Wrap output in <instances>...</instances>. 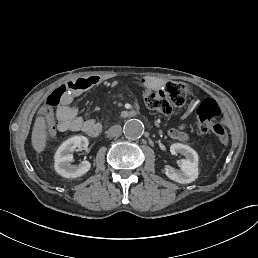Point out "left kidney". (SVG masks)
<instances>
[{"mask_svg":"<svg viewBox=\"0 0 258 258\" xmlns=\"http://www.w3.org/2000/svg\"><path fill=\"white\" fill-rule=\"evenodd\" d=\"M170 152L173 155L183 154L185 158L181 160V171H176L171 166L165 167V175L179 183H191L199 175V157L190 146L175 143L170 146Z\"/></svg>","mask_w":258,"mask_h":258,"instance_id":"5707ae66","label":"left kidney"}]
</instances>
